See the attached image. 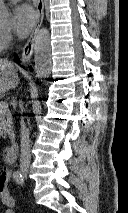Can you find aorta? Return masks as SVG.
I'll return each mask as SVG.
<instances>
[{
  "instance_id": "obj_1",
  "label": "aorta",
  "mask_w": 128,
  "mask_h": 213,
  "mask_svg": "<svg viewBox=\"0 0 128 213\" xmlns=\"http://www.w3.org/2000/svg\"><path fill=\"white\" fill-rule=\"evenodd\" d=\"M9 12L0 0V27L9 23ZM35 74L37 78H48L52 70L50 33L43 28L38 31L34 42Z\"/></svg>"
}]
</instances>
